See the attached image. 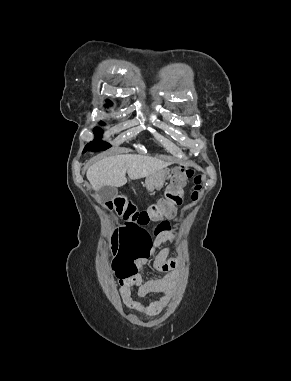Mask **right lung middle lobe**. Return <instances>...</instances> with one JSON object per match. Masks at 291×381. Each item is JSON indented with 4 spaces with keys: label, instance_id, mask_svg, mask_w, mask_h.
Masks as SVG:
<instances>
[{
    "label": "right lung middle lobe",
    "instance_id": "1",
    "mask_svg": "<svg viewBox=\"0 0 291 381\" xmlns=\"http://www.w3.org/2000/svg\"><path fill=\"white\" fill-rule=\"evenodd\" d=\"M94 133L97 136H101L102 135V130L99 129V128H96ZM109 147H110V145L108 143L96 139V140L92 141L90 144L86 145V147L84 148L83 153L86 152V151H101V150H105V149H107Z\"/></svg>",
    "mask_w": 291,
    "mask_h": 381
}]
</instances>
